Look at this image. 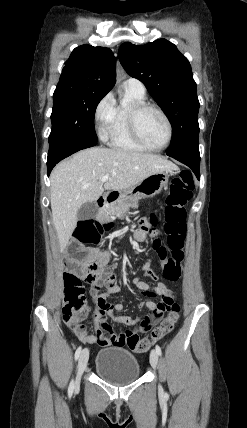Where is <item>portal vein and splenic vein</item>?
I'll list each match as a JSON object with an SVG mask.
<instances>
[{"mask_svg": "<svg viewBox=\"0 0 247 428\" xmlns=\"http://www.w3.org/2000/svg\"><path fill=\"white\" fill-rule=\"evenodd\" d=\"M109 179V175H105L101 178V182H106Z\"/></svg>", "mask_w": 247, "mask_h": 428, "instance_id": "portal-vein-and-splenic-vein-1", "label": "portal vein and splenic vein"}]
</instances>
